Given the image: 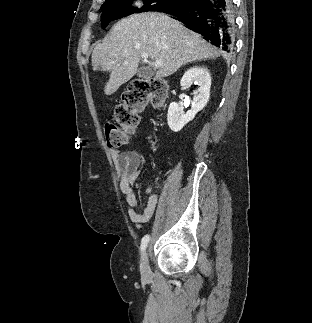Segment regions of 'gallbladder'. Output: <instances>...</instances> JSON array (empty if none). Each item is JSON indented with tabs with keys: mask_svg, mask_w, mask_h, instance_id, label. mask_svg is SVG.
I'll use <instances>...</instances> for the list:
<instances>
[{
	"mask_svg": "<svg viewBox=\"0 0 312 323\" xmlns=\"http://www.w3.org/2000/svg\"><path fill=\"white\" fill-rule=\"evenodd\" d=\"M154 74V70H152V68H148V66H146V68H140L137 72V76H140V78H148V80L149 78H152Z\"/></svg>",
	"mask_w": 312,
	"mask_h": 323,
	"instance_id": "bac80fb5",
	"label": "gallbladder"
}]
</instances>
